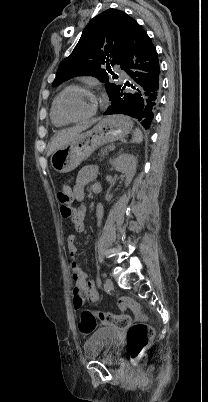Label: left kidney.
Instances as JSON below:
<instances>
[{
	"mask_svg": "<svg viewBox=\"0 0 208 402\" xmlns=\"http://www.w3.org/2000/svg\"><path fill=\"white\" fill-rule=\"evenodd\" d=\"M112 168H115L117 172H122L126 176L125 186H129L132 182L136 168H137V158L132 156V154H120L115 160H111Z\"/></svg>",
	"mask_w": 208,
	"mask_h": 402,
	"instance_id": "left-kidney-1",
	"label": "left kidney"
}]
</instances>
